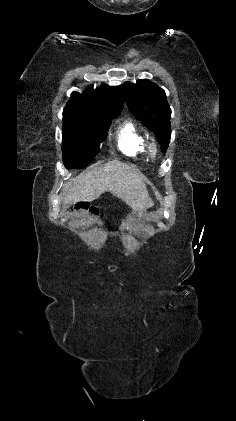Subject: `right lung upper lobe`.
I'll use <instances>...</instances> for the list:
<instances>
[{"instance_id":"right-lung-upper-lobe-1","label":"right lung upper lobe","mask_w":236,"mask_h":421,"mask_svg":"<svg viewBox=\"0 0 236 421\" xmlns=\"http://www.w3.org/2000/svg\"><path fill=\"white\" fill-rule=\"evenodd\" d=\"M124 104V92L122 86L109 87L102 85L95 90H88L83 94L72 93L69 107H97L105 109H121Z\"/></svg>"}]
</instances>
